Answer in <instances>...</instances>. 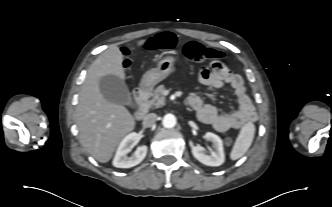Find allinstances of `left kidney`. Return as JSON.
<instances>
[{"mask_svg": "<svg viewBox=\"0 0 332 207\" xmlns=\"http://www.w3.org/2000/svg\"><path fill=\"white\" fill-rule=\"evenodd\" d=\"M205 138L213 143L214 151L210 155L204 153V148L200 145H194L193 142H189L193 156L202 164L207 166H220L224 163L225 155L223 149V143L219 136L214 133L207 132Z\"/></svg>", "mask_w": 332, "mask_h": 207, "instance_id": "obj_1", "label": "left kidney"}]
</instances>
